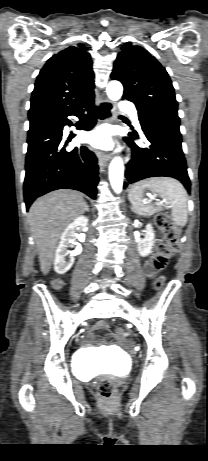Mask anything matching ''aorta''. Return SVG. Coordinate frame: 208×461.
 Masks as SVG:
<instances>
[{"instance_id":"aorta-1","label":"aorta","mask_w":208,"mask_h":461,"mask_svg":"<svg viewBox=\"0 0 208 461\" xmlns=\"http://www.w3.org/2000/svg\"><path fill=\"white\" fill-rule=\"evenodd\" d=\"M107 95L110 100L118 101L123 94V86L119 81H110L107 86ZM110 184L116 193H121L124 180V163L120 156L113 158L109 165Z\"/></svg>"}]
</instances>
